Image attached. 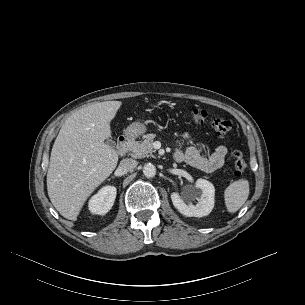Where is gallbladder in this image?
<instances>
[{"instance_id": "obj_1", "label": "gallbladder", "mask_w": 305, "mask_h": 305, "mask_svg": "<svg viewBox=\"0 0 305 305\" xmlns=\"http://www.w3.org/2000/svg\"><path fill=\"white\" fill-rule=\"evenodd\" d=\"M106 144H108L111 147H115V145H116L115 141H113L110 138L106 140Z\"/></svg>"}]
</instances>
